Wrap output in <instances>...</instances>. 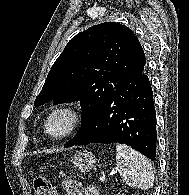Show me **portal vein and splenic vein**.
Returning a JSON list of instances; mask_svg holds the SVG:
<instances>
[{"mask_svg":"<svg viewBox=\"0 0 189 195\" xmlns=\"http://www.w3.org/2000/svg\"><path fill=\"white\" fill-rule=\"evenodd\" d=\"M99 179L101 182H104L106 178H105V176H101Z\"/></svg>","mask_w":189,"mask_h":195,"instance_id":"portal-vein-and-splenic-vein-1","label":"portal vein and splenic vein"}]
</instances>
